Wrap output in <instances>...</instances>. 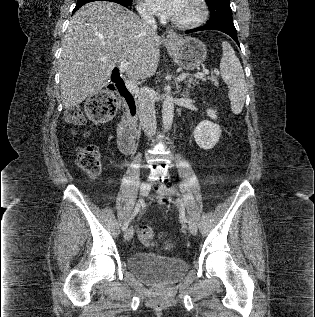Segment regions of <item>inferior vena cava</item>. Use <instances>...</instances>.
<instances>
[{
  "label": "inferior vena cava",
  "instance_id": "obj_1",
  "mask_svg": "<svg viewBox=\"0 0 315 317\" xmlns=\"http://www.w3.org/2000/svg\"><path fill=\"white\" fill-rule=\"evenodd\" d=\"M141 16L145 23L152 29L156 30L157 25L153 15L149 12H142ZM138 115L140 125L142 126L145 134L148 137H152L156 132V116L154 101L151 95V90L147 87L141 88L138 95Z\"/></svg>",
  "mask_w": 315,
  "mask_h": 317
}]
</instances>
